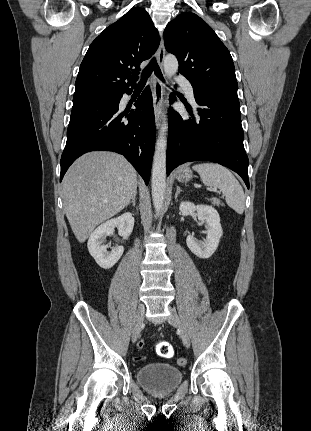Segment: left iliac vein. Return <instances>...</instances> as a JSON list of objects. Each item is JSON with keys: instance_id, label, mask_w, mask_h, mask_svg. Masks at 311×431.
Listing matches in <instances>:
<instances>
[{"instance_id": "1", "label": "left iliac vein", "mask_w": 311, "mask_h": 431, "mask_svg": "<svg viewBox=\"0 0 311 431\" xmlns=\"http://www.w3.org/2000/svg\"><path fill=\"white\" fill-rule=\"evenodd\" d=\"M169 312H170V315L168 316L169 324L175 327L179 331L183 344L188 348L190 346V337L186 328L184 327L178 314L172 307H169Z\"/></svg>"}]
</instances>
